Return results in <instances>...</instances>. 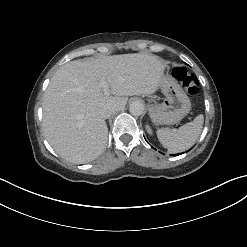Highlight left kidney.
Listing matches in <instances>:
<instances>
[{
  "instance_id": "1",
  "label": "left kidney",
  "mask_w": 247,
  "mask_h": 247,
  "mask_svg": "<svg viewBox=\"0 0 247 247\" xmlns=\"http://www.w3.org/2000/svg\"><path fill=\"white\" fill-rule=\"evenodd\" d=\"M146 131H147V133L149 134V135H152L153 134V131H152V129H151V127L149 126V125H146Z\"/></svg>"
}]
</instances>
